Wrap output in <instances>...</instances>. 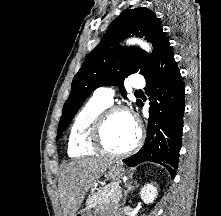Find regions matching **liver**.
<instances>
[{
  "label": "liver",
  "mask_w": 221,
  "mask_h": 216,
  "mask_svg": "<svg viewBox=\"0 0 221 216\" xmlns=\"http://www.w3.org/2000/svg\"><path fill=\"white\" fill-rule=\"evenodd\" d=\"M113 163L112 159L81 158L64 167L58 184L64 216L76 215L86 192Z\"/></svg>",
  "instance_id": "liver-1"
}]
</instances>
